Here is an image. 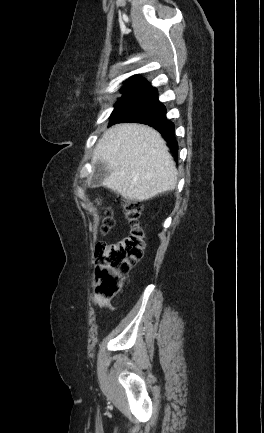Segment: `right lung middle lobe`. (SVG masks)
<instances>
[{
	"label": "right lung middle lobe",
	"mask_w": 264,
	"mask_h": 433,
	"mask_svg": "<svg viewBox=\"0 0 264 433\" xmlns=\"http://www.w3.org/2000/svg\"><path fill=\"white\" fill-rule=\"evenodd\" d=\"M141 90L142 89H139L124 94L119 99V101L115 105L114 111L110 116L111 122L115 119H122L124 117L130 116L136 111V105L138 104Z\"/></svg>",
	"instance_id": "right-lung-middle-lobe-1"
}]
</instances>
